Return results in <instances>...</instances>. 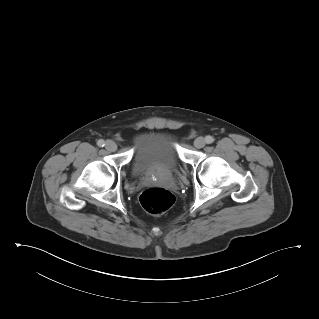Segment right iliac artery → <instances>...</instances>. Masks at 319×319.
Here are the masks:
<instances>
[{
  "instance_id": "right-iliac-artery-1",
  "label": "right iliac artery",
  "mask_w": 319,
  "mask_h": 319,
  "mask_svg": "<svg viewBox=\"0 0 319 319\" xmlns=\"http://www.w3.org/2000/svg\"><path fill=\"white\" fill-rule=\"evenodd\" d=\"M97 145L99 146V147H104L105 146V141L104 140H99L98 142H97Z\"/></svg>"
}]
</instances>
